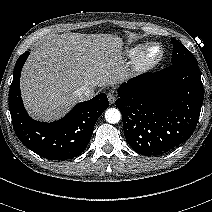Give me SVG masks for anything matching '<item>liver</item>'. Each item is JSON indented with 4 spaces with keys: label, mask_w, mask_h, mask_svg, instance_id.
<instances>
[{
    "label": "liver",
    "mask_w": 212,
    "mask_h": 212,
    "mask_svg": "<svg viewBox=\"0 0 212 212\" xmlns=\"http://www.w3.org/2000/svg\"><path fill=\"white\" fill-rule=\"evenodd\" d=\"M121 40L108 34L69 33L41 41L21 75V94L30 114L49 121L75 105L80 87H104L121 78Z\"/></svg>",
    "instance_id": "6515ba94"
}]
</instances>
